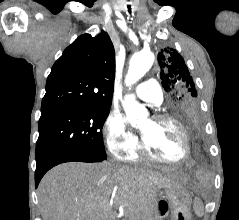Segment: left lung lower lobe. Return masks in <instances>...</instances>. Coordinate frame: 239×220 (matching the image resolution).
<instances>
[{
	"label": "left lung lower lobe",
	"instance_id": "obj_1",
	"mask_svg": "<svg viewBox=\"0 0 239 220\" xmlns=\"http://www.w3.org/2000/svg\"><path fill=\"white\" fill-rule=\"evenodd\" d=\"M178 119L188 130L192 132L194 136H197L199 134L201 130V120L198 113L191 112Z\"/></svg>",
	"mask_w": 239,
	"mask_h": 220
}]
</instances>
